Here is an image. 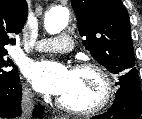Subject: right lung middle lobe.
Listing matches in <instances>:
<instances>
[{"label": "right lung middle lobe", "mask_w": 142, "mask_h": 119, "mask_svg": "<svg viewBox=\"0 0 142 119\" xmlns=\"http://www.w3.org/2000/svg\"><path fill=\"white\" fill-rule=\"evenodd\" d=\"M7 55V50L0 51V87H8L19 80L17 68Z\"/></svg>", "instance_id": "dd1d6c3e"}]
</instances>
